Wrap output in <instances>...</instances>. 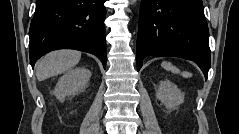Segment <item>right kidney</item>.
<instances>
[{
  "label": "right kidney",
  "mask_w": 239,
  "mask_h": 134,
  "mask_svg": "<svg viewBox=\"0 0 239 134\" xmlns=\"http://www.w3.org/2000/svg\"><path fill=\"white\" fill-rule=\"evenodd\" d=\"M91 77L90 70L76 67L65 73L57 82L54 95L64 101L67 95H76L83 91Z\"/></svg>",
  "instance_id": "ca27d5eb"
}]
</instances>
